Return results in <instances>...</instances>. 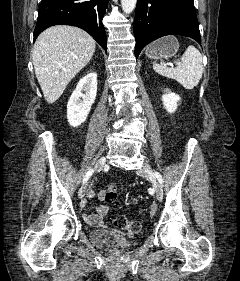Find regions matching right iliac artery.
Masks as SVG:
<instances>
[{
	"instance_id": "obj_1",
	"label": "right iliac artery",
	"mask_w": 240,
	"mask_h": 281,
	"mask_svg": "<svg viewBox=\"0 0 240 281\" xmlns=\"http://www.w3.org/2000/svg\"><path fill=\"white\" fill-rule=\"evenodd\" d=\"M93 172H94V170H93V169H90V170L86 173V175H85V177H84V179H83V183H85V182L88 181V179H89L90 176L93 174Z\"/></svg>"
}]
</instances>
